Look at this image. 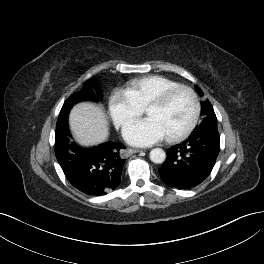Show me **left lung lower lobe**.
Listing matches in <instances>:
<instances>
[{
	"label": "left lung lower lobe",
	"mask_w": 264,
	"mask_h": 264,
	"mask_svg": "<svg viewBox=\"0 0 264 264\" xmlns=\"http://www.w3.org/2000/svg\"><path fill=\"white\" fill-rule=\"evenodd\" d=\"M220 150L217 125L198 126L181 144L172 146L159 174L164 182L178 189H191L212 171Z\"/></svg>",
	"instance_id": "left-lung-lower-lobe-1"
}]
</instances>
